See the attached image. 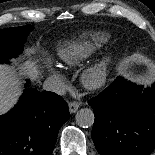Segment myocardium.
<instances>
[{
	"mask_svg": "<svg viewBox=\"0 0 155 155\" xmlns=\"http://www.w3.org/2000/svg\"><path fill=\"white\" fill-rule=\"evenodd\" d=\"M112 62L113 54L108 53L85 69L81 75L83 85L88 89H96L102 86L109 76Z\"/></svg>",
	"mask_w": 155,
	"mask_h": 155,
	"instance_id": "obj_1",
	"label": "myocardium"
}]
</instances>
